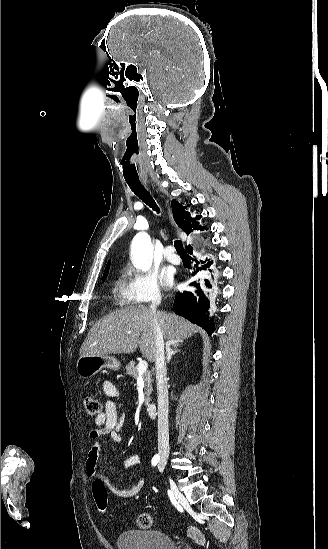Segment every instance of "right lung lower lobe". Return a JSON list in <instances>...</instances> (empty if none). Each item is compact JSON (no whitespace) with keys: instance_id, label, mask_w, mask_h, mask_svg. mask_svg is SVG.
I'll list each match as a JSON object with an SVG mask.
<instances>
[{"instance_id":"1","label":"right lung lower lobe","mask_w":328,"mask_h":549,"mask_svg":"<svg viewBox=\"0 0 328 549\" xmlns=\"http://www.w3.org/2000/svg\"><path fill=\"white\" fill-rule=\"evenodd\" d=\"M201 260L202 267L197 268L196 271L202 275V281L200 279L193 281L195 273H189L184 275L186 280H190V286L192 290L178 292L174 300V311L176 314L183 316L189 321L201 326L205 331L211 335L215 331V325L213 319H209V291L212 290L213 276L210 272V266L213 261L206 263ZM198 264L199 261L195 260ZM196 264V267H197ZM208 270V271H207Z\"/></svg>"}]
</instances>
